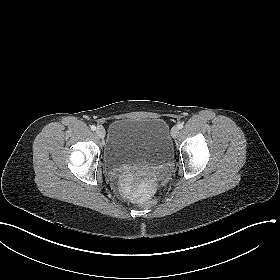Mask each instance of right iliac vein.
Wrapping results in <instances>:
<instances>
[{
  "label": "right iliac vein",
  "mask_w": 280,
  "mask_h": 280,
  "mask_svg": "<svg viewBox=\"0 0 280 280\" xmlns=\"http://www.w3.org/2000/svg\"><path fill=\"white\" fill-rule=\"evenodd\" d=\"M96 134L100 137V138H104L105 137V130L103 127H98L96 129Z\"/></svg>",
  "instance_id": "1"
}]
</instances>
